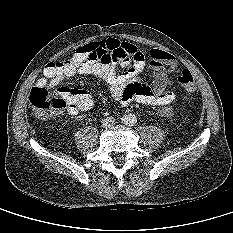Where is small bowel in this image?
Here are the masks:
<instances>
[{
  "label": "small bowel",
  "instance_id": "c3829d8e",
  "mask_svg": "<svg viewBox=\"0 0 233 233\" xmlns=\"http://www.w3.org/2000/svg\"><path fill=\"white\" fill-rule=\"evenodd\" d=\"M146 64L154 72L153 84L141 82ZM176 69L173 55L158 49H141L129 42L106 39L78 49L63 62H51L44 69L38 87L56 90L67 102V113L77 115L93 107V98L85 89H69L62 82L75 75H93L104 80L114 99L126 106L132 101L142 105H166L176 95L170 89L169 75Z\"/></svg>",
  "mask_w": 233,
  "mask_h": 233
}]
</instances>
